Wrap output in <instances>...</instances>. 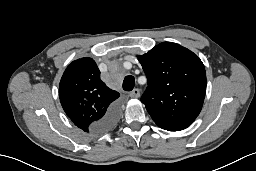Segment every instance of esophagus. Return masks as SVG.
I'll list each match as a JSON object with an SVG mask.
<instances>
[{"instance_id": "obj_1", "label": "esophagus", "mask_w": 256, "mask_h": 171, "mask_svg": "<svg viewBox=\"0 0 256 171\" xmlns=\"http://www.w3.org/2000/svg\"><path fill=\"white\" fill-rule=\"evenodd\" d=\"M129 95L131 98H138L140 96V90L136 88L132 90Z\"/></svg>"}]
</instances>
